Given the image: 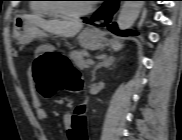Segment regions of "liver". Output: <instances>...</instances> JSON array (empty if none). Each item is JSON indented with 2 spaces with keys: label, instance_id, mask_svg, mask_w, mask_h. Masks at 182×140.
Segmentation results:
<instances>
[{
  "label": "liver",
  "instance_id": "1",
  "mask_svg": "<svg viewBox=\"0 0 182 140\" xmlns=\"http://www.w3.org/2000/svg\"><path fill=\"white\" fill-rule=\"evenodd\" d=\"M22 17L44 31L65 38L75 36L83 27L79 21L44 20L38 15H23Z\"/></svg>",
  "mask_w": 182,
  "mask_h": 140
}]
</instances>
